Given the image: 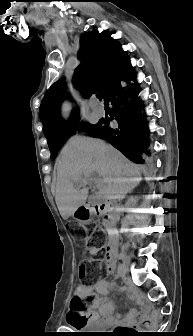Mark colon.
I'll return each instance as SVG.
<instances>
[{
    "mask_svg": "<svg viewBox=\"0 0 193 336\" xmlns=\"http://www.w3.org/2000/svg\"><path fill=\"white\" fill-rule=\"evenodd\" d=\"M69 228L73 230V226L70 224ZM76 242L83 245L87 254H99L101 245L99 244L95 235L88 237L76 236ZM93 260L85 259L81 262L79 267V277L85 279L91 271ZM97 299L94 295H88L85 298L80 296H74L71 299V310L74 315L87 316L91 307L96 303ZM126 330H119L120 334H123ZM124 336V335H120Z\"/></svg>",
    "mask_w": 193,
    "mask_h": 336,
    "instance_id": "1",
    "label": "colon"
}]
</instances>
